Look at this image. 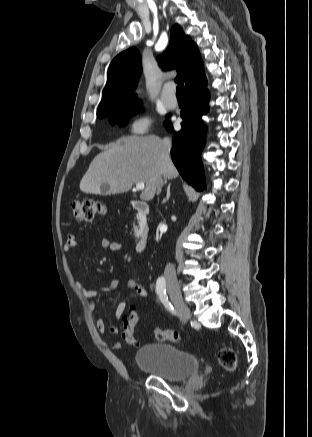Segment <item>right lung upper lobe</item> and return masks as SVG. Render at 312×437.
<instances>
[{"mask_svg":"<svg viewBox=\"0 0 312 437\" xmlns=\"http://www.w3.org/2000/svg\"><path fill=\"white\" fill-rule=\"evenodd\" d=\"M157 59L163 69L178 68L176 81H184L185 88L205 76L197 45L178 24L171 29L168 49ZM141 71V56L136 48L123 51L113 59L97 116L108 115L126 104L139 103L132 99V92Z\"/></svg>","mask_w":312,"mask_h":437,"instance_id":"right-lung-upper-lobe-1","label":"right lung upper lobe"}]
</instances>
